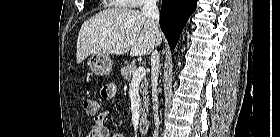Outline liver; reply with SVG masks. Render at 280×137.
Segmentation results:
<instances>
[{
	"label": "liver",
	"mask_w": 280,
	"mask_h": 137,
	"mask_svg": "<svg viewBox=\"0 0 280 137\" xmlns=\"http://www.w3.org/2000/svg\"><path fill=\"white\" fill-rule=\"evenodd\" d=\"M162 41L147 17L133 9L114 8L86 20L77 39V63L91 54L145 56Z\"/></svg>",
	"instance_id": "6515ba94"
}]
</instances>
